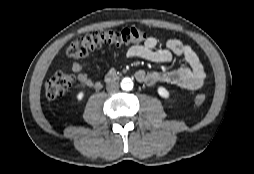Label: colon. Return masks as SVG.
<instances>
[{"mask_svg": "<svg viewBox=\"0 0 254 174\" xmlns=\"http://www.w3.org/2000/svg\"><path fill=\"white\" fill-rule=\"evenodd\" d=\"M144 40L145 33L134 27L121 30L94 31L72 42L68 46L66 54L71 58H81L102 45L140 43ZM73 84L74 76L66 72H57L47 81L45 94L48 99L55 100L69 90ZM205 100L206 95L204 93L197 94L194 98L197 105L203 104Z\"/></svg>", "mask_w": 254, "mask_h": 174, "instance_id": "1", "label": "colon"}]
</instances>
